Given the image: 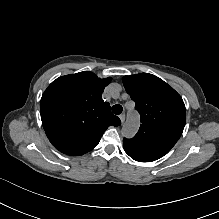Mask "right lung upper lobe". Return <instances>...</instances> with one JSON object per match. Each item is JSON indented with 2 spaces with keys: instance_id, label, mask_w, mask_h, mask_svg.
I'll list each match as a JSON object with an SVG mask.
<instances>
[{
  "instance_id": "obj_1",
  "label": "right lung upper lobe",
  "mask_w": 219,
  "mask_h": 219,
  "mask_svg": "<svg viewBox=\"0 0 219 219\" xmlns=\"http://www.w3.org/2000/svg\"><path fill=\"white\" fill-rule=\"evenodd\" d=\"M110 81L84 71L59 77L45 90L41 120L48 139L60 152L70 156L87 153L109 126L121 124L109 103L102 100Z\"/></svg>"
}]
</instances>
